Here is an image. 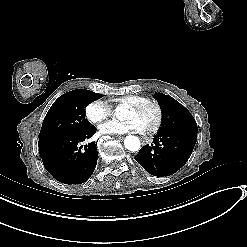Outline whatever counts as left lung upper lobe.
<instances>
[{"label":"left lung upper lobe","mask_w":247,"mask_h":247,"mask_svg":"<svg viewBox=\"0 0 247 247\" xmlns=\"http://www.w3.org/2000/svg\"><path fill=\"white\" fill-rule=\"evenodd\" d=\"M154 97L159 102L163 111V123L159 132H198L195 119L178 101L162 93H155Z\"/></svg>","instance_id":"1"}]
</instances>
